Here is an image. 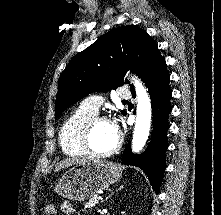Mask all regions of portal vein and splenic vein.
<instances>
[{
	"mask_svg": "<svg viewBox=\"0 0 221 215\" xmlns=\"http://www.w3.org/2000/svg\"><path fill=\"white\" fill-rule=\"evenodd\" d=\"M97 198H98V200H101V199H102V196H98Z\"/></svg>",
	"mask_w": 221,
	"mask_h": 215,
	"instance_id": "18ae733b",
	"label": "portal vein and splenic vein"
}]
</instances>
